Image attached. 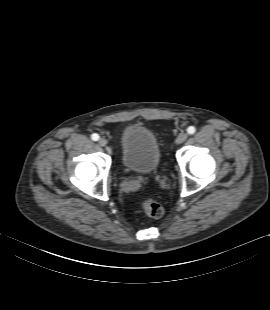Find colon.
Listing matches in <instances>:
<instances>
[{"label":"colon","mask_w":270,"mask_h":310,"mask_svg":"<svg viewBox=\"0 0 270 310\" xmlns=\"http://www.w3.org/2000/svg\"><path fill=\"white\" fill-rule=\"evenodd\" d=\"M141 210L151 218H160L164 214V208L158 201L152 198H145L141 201Z\"/></svg>","instance_id":"colon-1"}]
</instances>
